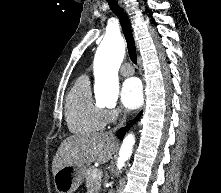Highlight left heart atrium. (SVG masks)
Listing matches in <instances>:
<instances>
[{"mask_svg":"<svg viewBox=\"0 0 221 193\" xmlns=\"http://www.w3.org/2000/svg\"><path fill=\"white\" fill-rule=\"evenodd\" d=\"M120 98L123 106L133 110L141 106L143 102L142 84L137 78L126 80L122 86Z\"/></svg>","mask_w":221,"mask_h":193,"instance_id":"left-heart-atrium-1","label":"left heart atrium"}]
</instances>
